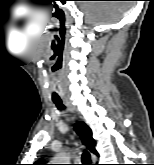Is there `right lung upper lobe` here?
<instances>
[{"mask_svg": "<svg viewBox=\"0 0 154 165\" xmlns=\"http://www.w3.org/2000/svg\"><path fill=\"white\" fill-rule=\"evenodd\" d=\"M76 132L80 135L83 144L94 154H98L95 150V140L92 138L91 129L84 123L78 122L75 127ZM34 165H46L43 160L37 161Z\"/></svg>", "mask_w": 154, "mask_h": 165, "instance_id": "cb5924a9", "label": "right lung upper lobe"}]
</instances>
